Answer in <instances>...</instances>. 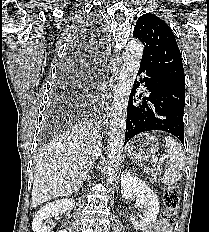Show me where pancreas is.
Masks as SVG:
<instances>
[{
    "label": "pancreas",
    "mask_w": 209,
    "mask_h": 232,
    "mask_svg": "<svg viewBox=\"0 0 209 232\" xmlns=\"http://www.w3.org/2000/svg\"><path fill=\"white\" fill-rule=\"evenodd\" d=\"M159 171L160 168H154L151 171H146L148 173V175H150L152 177V181L153 182H157L159 180Z\"/></svg>",
    "instance_id": "pancreas-1"
}]
</instances>
